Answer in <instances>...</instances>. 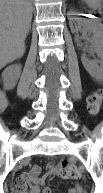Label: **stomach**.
Instances as JSON below:
<instances>
[{"mask_svg":"<svg viewBox=\"0 0 103 193\" xmlns=\"http://www.w3.org/2000/svg\"><path fill=\"white\" fill-rule=\"evenodd\" d=\"M90 6H96L100 0H84Z\"/></svg>","mask_w":103,"mask_h":193,"instance_id":"0dacf381","label":"stomach"}]
</instances>
